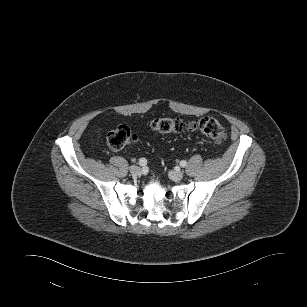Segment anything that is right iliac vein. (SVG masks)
<instances>
[{"instance_id": "right-iliac-vein-1", "label": "right iliac vein", "mask_w": 307, "mask_h": 307, "mask_svg": "<svg viewBox=\"0 0 307 307\" xmlns=\"http://www.w3.org/2000/svg\"><path fill=\"white\" fill-rule=\"evenodd\" d=\"M129 171H130L132 176H137V175L140 174L141 169L137 165H132V166H130Z\"/></svg>"}]
</instances>
